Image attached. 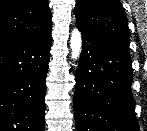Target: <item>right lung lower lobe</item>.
Instances as JSON below:
<instances>
[{"mask_svg":"<svg viewBox=\"0 0 147 131\" xmlns=\"http://www.w3.org/2000/svg\"><path fill=\"white\" fill-rule=\"evenodd\" d=\"M51 30L0 48V131H44Z\"/></svg>","mask_w":147,"mask_h":131,"instance_id":"98d812e1","label":"right lung lower lobe"}]
</instances>
